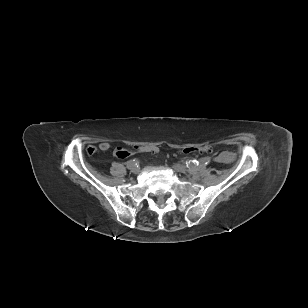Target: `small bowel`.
Listing matches in <instances>:
<instances>
[{"label":"small bowel","mask_w":308,"mask_h":308,"mask_svg":"<svg viewBox=\"0 0 308 308\" xmlns=\"http://www.w3.org/2000/svg\"><path fill=\"white\" fill-rule=\"evenodd\" d=\"M109 147H110V145H109L107 142H101V143L99 144V149L102 150V151L108 150ZM89 149H90V148H89ZM89 149H88V150H89ZM93 149H94V148H93ZM94 150H95V149H94ZM94 152H95V151H94ZM94 152H93V153H94ZM89 154H92V153H89ZM228 158H229V153L223 152V153H221V154L216 158V160L219 161V162H223V161L227 160Z\"/></svg>","instance_id":"c3829d8e"}]
</instances>
